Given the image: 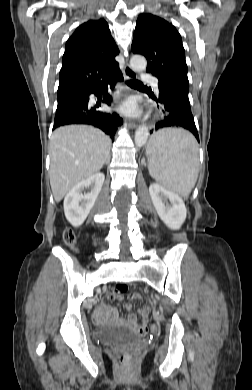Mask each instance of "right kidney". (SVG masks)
<instances>
[{
  "instance_id": "right-kidney-1",
  "label": "right kidney",
  "mask_w": 252,
  "mask_h": 390,
  "mask_svg": "<svg viewBox=\"0 0 252 390\" xmlns=\"http://www.w3.org/2000/svg\"><path fill=\"white\" fill-rule=\"evenodd\" d=\"M104 179V174L98 172L76 184L65 196V216L74 227L82 225L87 218L101 191ZM89 187L91 191L83 194L82 192Z\"/></svg>"
}]
</instances>
